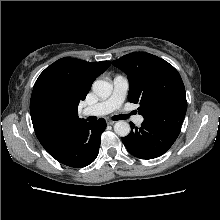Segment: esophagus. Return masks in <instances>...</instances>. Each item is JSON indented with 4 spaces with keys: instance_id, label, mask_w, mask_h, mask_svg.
Wrapping results in <instances>:
<instances>
[{
    "instance_id": "esophagus-1",
    "label": "esophagus",
    "mask_w": 220,
    "mask_h": 220,
    "mask_svg": "<svg viewBox=\"0 0 220 220\" xmlns=\"http://www.w3.org/2000/svg\"><path fill=\"white\" fill-rule=\"evenodd\" d=\"M114 123H115V121H113V120H107L108 125H113Z\"/></svg>"
}]
</instances>
